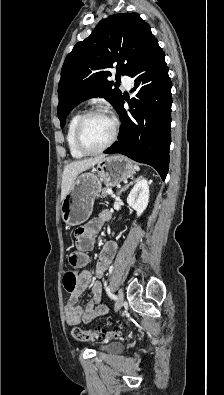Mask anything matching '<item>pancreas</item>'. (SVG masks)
Listing matches in <instances>:
<instances>
[{"mask_svg": "<svg viewBox=\"0 0 224 395\" xmlns=\"http://www.w3.org/2000/svg\"><path fill=\"white\" fill-rule=\"evenodd\" d=\"M110 189L109 187L103 188L101 193L97 196V198H106L108 196L107 190Z\"/></svg>", "mask_w": 224, "mask_h": 395, "instance_id": "cf45deb5", "label": "pancreas"}]
</instances>
